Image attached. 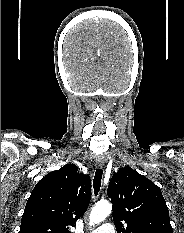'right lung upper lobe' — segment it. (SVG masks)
I'll use <instances>...</instances> for the list:
<instances>
[{
    "mask_svg": "<svg viewBox=\"0 0 184 233\" xmlns=\"http://www.w3.org/2000/svg\"><path fill=\"white\" fill-rule=\"evenodd\" d=\"M91 182L74 164L48 173L34 187L19 233H70L90 203Z\"/></svg>",
    "mask_w": 184,
    "mask_h": 233,
    "instance_id": "cb5924a9",
    "label": "right lung upper lobe"
}]
</instances>
